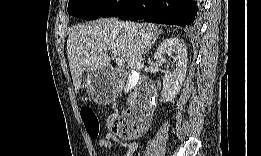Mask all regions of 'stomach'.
<instances>
[{"label": "stomach", "instance_id": "0dacf381", "mask_svg": "<svg viewBox=\"0 0 261 156\" xmlns=\"http://www.w3.org/2000/svg\"><path fill=\"white\" fill-rule=\"evenodd\" d=\"M102 85H104L105 90L112 87L110 73L106 69L90 72L85 82V87H87L88 91L94 95V87Z\"/></svg>", "mask_w": 261, "mask_h": 156}]
</instances>
